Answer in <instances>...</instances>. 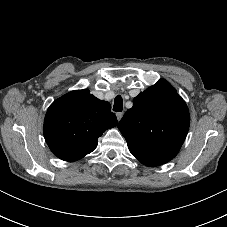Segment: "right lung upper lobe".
Wrapping results in <instances>:
<instances>
[{
  "instance_id": "right-lung-upper-lobe-1",
  "label": "right lung upper lobe",
  "mask_w": 227,
  "mask_h": 227,
  "mask_svg": "<svg viewBox=\"0 0 227 227\" xmlns=\"http://www.w3.org/2000/svg\"><path fill=\"white\" fill-rule=\"evenodd\" d=\"M116 125L110 103L84 89L69 92L50 105L43 131L50 150L72 162L91 153L104 131Z\"/></svg>"
}]
</instances>
